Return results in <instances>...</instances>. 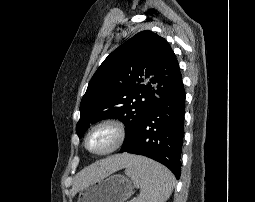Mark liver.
Listing matches in <instances>:
<instances>
[{"instance_id":"obj_1","label":"liver","mask_w":255,"mask_h":202,"mask_svg":"<svg viewBox=\"0 0 255 202\" xmlns=\"http://www.w3.org/2000/svg\"><path fill=\"white\" fill-rule=\"evenodd\" d=\"M136 159L130 154H118L102 159L80 171L72 187L73 193H77L81 188L88 184L103 179L111 173L127 167Z\"/></svg>"}]
</instances>
